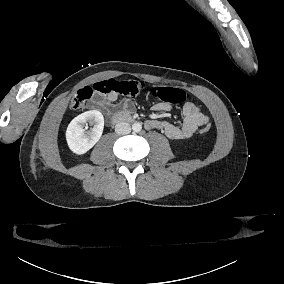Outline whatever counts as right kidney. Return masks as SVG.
<instances>
[{"label": "right kidney", "mask_w": 284, "mask_h": 284, "mask_svg": "<svg viewBox=\"0 0 284 284\" xmlns=\"http://www.w3.org/2000/svg\"><path fill=\"white\" fill-rule=\"evenodd\" d=\"M86 122L94 123L91 131L84 129ZM104 129V117L95 110L86 111L75 117L66 130L68 148L76 155H83L100 140Z\"/></svg>", "instance_id": "1"}]
</instances>
